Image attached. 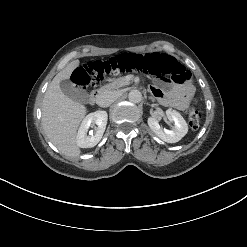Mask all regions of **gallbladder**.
<instances>
[{"instance_id":"1","label":"gallbladder","mask_w":247,"mask_h":247,"mask_svg":"<svg viewBox=\"0 0 247 247\" xmlns=\"http://www.w3.org/2000/svg\"><path fill=\"white\" fill-rule=\"evenodd\" d=\"M62 92L71 100L78 103L86 104L89 102V94L86 91L80 90L69 80H62L60 82Z\"/></svg>"}]
</instances>
